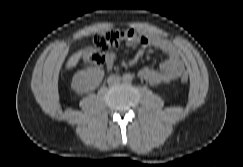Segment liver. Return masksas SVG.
<instances>
[{"label": "liver", "mask_w": 243, "mask_h": 167, "mask_svg": "<svg viewBox=\"0 0 243 167\" xmlns=\"http://www.w3.org/2000/svg\"><path fill=\"white\" fill-rule=\"evenodd\" d=\"M82 51H79V52H76L74 53L67 61L66 63V69H70V68H73L77 65L79 59L81 58L82 56Z\"/></svg>", "instance_id": "liver-1"}]
</instances>
